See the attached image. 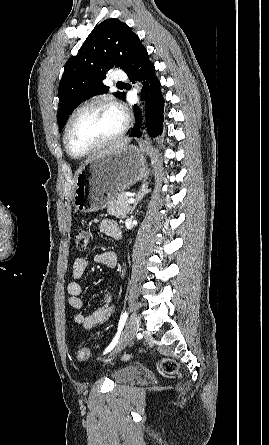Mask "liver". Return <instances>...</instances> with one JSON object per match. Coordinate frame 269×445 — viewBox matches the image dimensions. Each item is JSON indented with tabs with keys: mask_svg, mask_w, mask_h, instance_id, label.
Masks as SVG:
<instances>
[{
	"mask_svg": "<svg viewBox=\"0 0 269 445\" xmlns=\"http://www.w3.org/2000/svg\"><path fill=\"white\" fill-rule=\"evenodd\" d=\"M129 141H130L129 138H123L121 140H118L115 144L109 146L101 154L117 152V151L121 150L122 148H124L128 144Z\"/></svg>",
	"mask_w": 269,
	"mask_h": 445,
	"instance_id": "obj_1",
	"label": "liver"
}]
</instances>
